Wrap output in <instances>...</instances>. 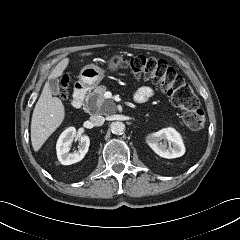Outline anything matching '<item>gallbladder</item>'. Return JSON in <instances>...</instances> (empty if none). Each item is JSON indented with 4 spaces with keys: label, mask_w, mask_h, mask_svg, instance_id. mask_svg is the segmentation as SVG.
Masks as SVG:
<instances>
[{
    "label": "gallbladder",
    "mask_w": 240,
    "mask_h": 240,
    "mask_svg": "<svg viewBox=\"0 0 240 240\" xmlns=\"http://www.w3.org/2000/svg\"><path fill=\"white\" fill-rule=\"evenodd\" d=\"M49 83V88H50V91L53 95H58L59 94V91H60V88H59V80L57 78H54V79H50L48 81Z\"/></svg>",
    "instance_id": "bac80fb5"
}]
</instances>
